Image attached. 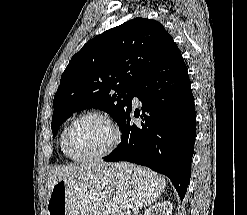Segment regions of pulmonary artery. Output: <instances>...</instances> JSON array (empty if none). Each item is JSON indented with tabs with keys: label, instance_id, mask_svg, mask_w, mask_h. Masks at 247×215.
<instances>
[{
	"label": "pulmonary artery",
	"instance_id": "pulmonary-artery-1",
	"mask_svg": "<svg viewBox=\"0 0 247 215\" xmlns=\"http://www.w3.org/2000/svg\"><path fill=\"white\" fill-rule=\"evenodd\" d=\"M134 102H135V103H138V102H139V100H138L137 97H134Z\"/></svg>",
	"mask_w": 247,
	"mask_h": 215
}]
</instances>
